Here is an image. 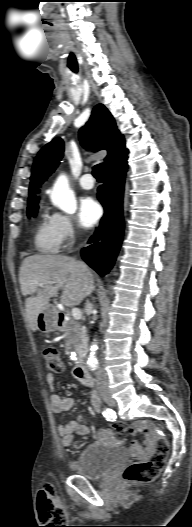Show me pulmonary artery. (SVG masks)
Here are the masks:
<instances>
[{
  "mask_svg": "<svg viewBox=\"0 0 192 527\" xmlns=\"http://www.w3.org/2000/svg\"><path fill=\"white\" fill-rule=\"evenodd\" d=\"M79 183H80V186L86 190L92 189L94 187V179L91 174H84L80 178Z\"/></svg>",
  "mask_w": 192,
  "mask_h": 527,
  "instance_id": "obj_1",
  "label": "pulmonary artery"
}]
</instances>
